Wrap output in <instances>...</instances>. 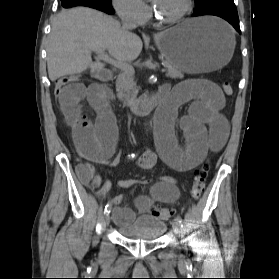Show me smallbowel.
<instances>
[{
	"mask_svg": "<svg viewBox=\"0 0 279 279\" xmlns=\"http://www.w3.org/2000/svg\"><path fill=\"white\" fill-rule=\"evenodd\" d=\"M162 102L155 114L156 151L148 150L137 164L142 169H151L161 158L168 166L178 171H189L201 164L208 152H217L225 145L229 135V125L222 113L225 104L220 88L208 80H188L172 90L164 87L161 91ZM111 92L103 85L88 87L81 83H70L58 96L61 111L71 130L75 147L80 156L88 162L76 167L79 181L91 188L98 189L102 178L95 175L94 163L115 166L119 162L117 152L118 128L116 117L110 109ZM85 101L98 111L94 122L84 111ZM190 102L189 111L180 118V128L185 138L182 148L174 135L173 127L178 109ZM122 188H129L132 181L118 180ZM106 185L97 191L103 197ZM177 181L170 176L159 177L152 185L149 194L135 200L139 213H147L156 202L173 203L179 198ZM124 196L118 195L110 202L114 208V219L118 224L132 222L136 212L121 207Z\"/></svg>",
	"mask_w": 279,
	"mask_h": 279,
	"instance_id": "c3829d8e",
	"label": "small bowel"
}]
</instances>
